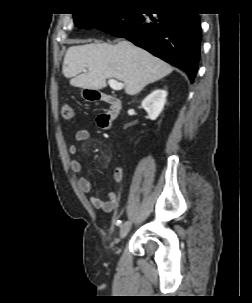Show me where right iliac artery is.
<instances>
[{
	"mask_svg": "<svg viewBox=\"0 0 252 303\" xmlns=\"http://www.w3.org/2000/svg\"><path fill=\"white\" fill-rule=\"evenodd\" d=\"M120 223H121V221H120V220H117V221H116V224H118V225H119Z\"/></svg>",
	"mask_w": 252,
	"mask_h": 303,
	"instance_id": "right-iliac-artery-1",
	"label": "right iliac artery"
}]
</instances>
